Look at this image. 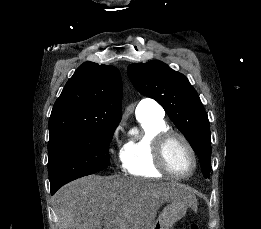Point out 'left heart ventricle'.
I'll list each match as a JSON object with an SVG mask.
<instances>
[{"instance_id": "b2bd125f", "label": "left heart ventricle", "mask_w": 261, "mask_h": 229, "mask_svg": "<svg viewBox=\"0 0 261 229\" xmlns=\"http://www.w3.org/2000/svg\"><path fill=\"white\" fill-rule=\"evenodd\" d=\"M170 167L177 173H186L192 166V159L186 146L180 141H173L167 150Z\"/></svg>"}]
</instances>
